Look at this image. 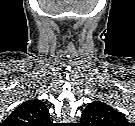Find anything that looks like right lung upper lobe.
I'll return each instance as SVG.
<instances>
[{
    "instance_id": "right-lung-upper-lobe-1",
    "label": "right lung upper lobe",
    "mask_w": 135,
    "mask_h": 126,
    "mask_svg": "<svg viewBox=\"0 0 135 126\" xmlns=\"http://www.w3.org/2000/svg\"><path fill=\"white\" fill-rule=\"evenodd\" d=\"M49 111L38 99L28 100L19 105L5 120L4 126H49Z\"/></svg>"
}]
</instances>
